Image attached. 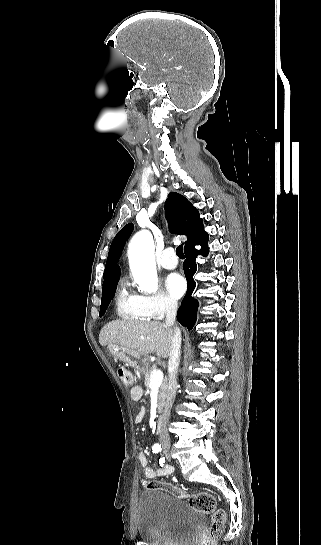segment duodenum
Returning a JSON list of instances; mask_svg holds the SVG:
<instances>
[{
    "mask_svg": "<svg viewBox=\"0 0 321 545\" xmlns=\"http://www.w3.org/2000/svg\"><path fill=\"white\" fill-rule=\"evenodd\" d=\"M162 423H163V417H162V416H159L158 419H157V421H156V432H157V433H160V432H161Z\"/></svg>",
    "mask_w": 321,
    "mask_h": 545,
    "instance_id": "obj_1",
    "label": "duodenum"
}]
</instances>
